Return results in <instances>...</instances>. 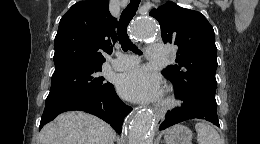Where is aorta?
I'll use <instances>...</instances> for the list:
<instances>
[{
    "label": "aorta",
    "mask_w": 260,
    "mask_h": 144,
    "mask_svg": "<svg viewBox=\"0 0 260 144\" xmlns=\"http://www.w3.org/2000/svg\"><path fill=\"white\" fill-rule=\"evenodd\" d=\"M132 35L137 42L155 37L156 24L151 18L136 20L132 27ZM153 115L148 110L136 113L128 122V144H152Z\"/></svg>",
    "instance_id": "1"
}]
</instances>
